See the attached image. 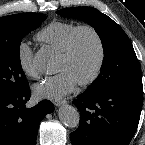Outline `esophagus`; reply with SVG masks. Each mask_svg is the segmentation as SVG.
<instances>
[{"mask_svg": "<svg viewBox=\"0 0 145 145\" xmlns=\"http://www.w3.org/2000/svg\"><path fill=\"white\" fill-rule=\"evenodd\" d=\"M66 100H53V104L57 107L66 104Z\"/></svg>", "mask_w": 145, "mask_h": 145, "instance_id": "esophagus-1", "label": "esophagus"}]
</instances>
